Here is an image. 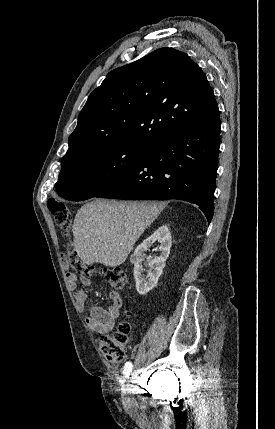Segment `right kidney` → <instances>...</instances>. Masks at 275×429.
Listing matches in <instances>:
<instances>
[{"instance_id": "ca27d5eb", "label": "right kidney", "mask_w": 275, "mask_h": 429, "mask_svg": "<svg viewBox=\"0 0 275 429\" xmlns=\"http://www.w3.org/2000/svg\"><path fill=\"white\" fill-rule=\"evenodd\" d=\"M156 241L160 243L158 247L160 255L154 258L151 256L147 257V262L151 269L148 271L147 276L144 277L142 274V262L146 257L145 252L148 251ZM171 244L170 230L166 225H162L150 237L138 245L133 255L130 257V261L134 264L136 289L140 295H146L157 285L159 277L165 267V261L170 254Z\"/></svg>"}]
</instances>
